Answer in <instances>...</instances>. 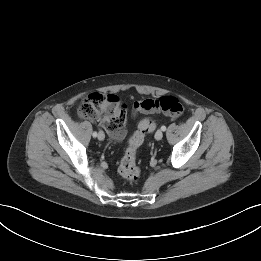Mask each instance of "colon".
Masks as SVG:
<instances>
[{
    "mask_svg": "<svg viewBox=\"0 0 261 261\" xmlns=\"http://www.w3.org/2000/svg\"><path fill=\"white\" fill-rule=\"evenodd\" d=\"M143 107L153 112H163L171 117H179L184 112V106L180 100L173 96L149 99L143 103ZM78 113L82 118L99 119L101 126L112 135L114 142L121 141L127 135V130L124 128L127 118L126 106L116 95L90 94L81 101ZM153 129V122L145 119L139 123L129 139L118 166V172L125 180L135 182L140 178L137 150L143 143L146 134Z\"/></svg>",
    "mask_w": 261,
    "mask_h": 261,
    "instance_id": "obj_1",
    "label": "colon"
}]
</instances>
